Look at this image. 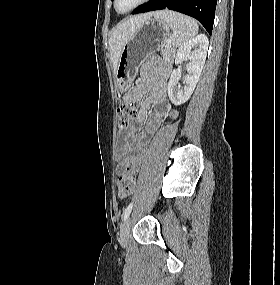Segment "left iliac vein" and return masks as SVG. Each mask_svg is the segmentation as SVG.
Returning a JSON list of instances; mask_svg holds the SVG:
<instances>
[{
	"mask_svg": "<svg viewBox=\"0 0 280 285\" xmlns=\"http://www.w3.org/2000/svg\"><path fill=\"white\" fill-rule=\"evenodd\" d=\"M130 228H131V217H128L120 229V241L122 245H125L128 242Z\"/></svg>",
	"mask_w": 280,
	"mask_h": 285,
	"instance_id": "4c4485c4",
	"label": "left iliac vein"
}]
</instances>
